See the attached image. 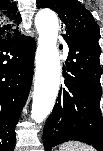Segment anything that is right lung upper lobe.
<instances>
[{
  "mask_svg": "<svg viewBox=\"0 0 103 151\" xmlns=\"http://www.w3.org/2000/svg\"><path fill=\"white\" fill-rule=\"evenodd\" d=\"M21 21L16 14L15 4L10 0H0V41L21 34L16 28Z\"/></svg>",
  "mask_w": 103,
  "mask_h": 151,
  "instance_id": "cb5924a9",
  "label": "right lung upper lobe"
}]
</instances>
